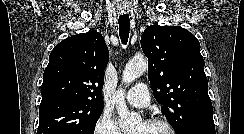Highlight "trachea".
Returning a JSON list of instances; mask_svg holds the SVG:
<instances>
[{"instance_id": "trachea-1", "label": "trachea", "mask_w": 244, "mask_h": 134, "mask_svg": "<svg viewBox=\"0 0 244 134\" xmlns=\"http://www.w3.org/2000/svg\"><path fill=\"white\" fill-rule=\"evenodd\" d=\"M119 35L122 44H127L130 32V20L128 14H123L119 16Z\"/></svg>"}]
</instances>
